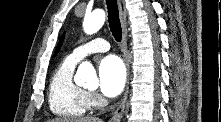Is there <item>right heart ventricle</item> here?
Masks as SVG:
<instances>
[{
	"label": "right heart ventricle",
	"mask_w": 221,
	"mask_h": 122,
	"mask_svg": "<svg viewBox=\"0 0 221 122\" xmlns=\"http://www.w3.org/2000/svg\"><path fill=\"white\" fill-rule=\"evenodd\" d=\"M77 61L67 57L50 80L48 100L51 111L62 117H80L91 108L88 93L73 79Z\"/></svg>",
	"instance_id": "e07e8e85"
}]
</instances>
